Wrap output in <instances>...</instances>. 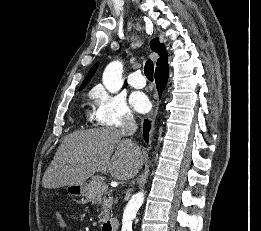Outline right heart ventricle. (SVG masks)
Wrapping results in <instances>:
<instances>
[{
    "label": "right heart ventricle",
    "instance_id": "1",
    "mask_svg": "<svg viewBox=\"0 0 261 231\" xmlns=\"http://www.w3.org/2000/svg\"><path fill=\"white\" fill-rule=\"evenodd\" d=\"M87 118H88L89 121L94 120V115H93V113L88 112V113H87Z\"/></svg>",
    "mask_w": 261,
    "mask_h": 231
}]
</instances>
